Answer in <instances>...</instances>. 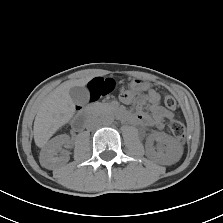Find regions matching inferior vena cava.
I'll return each instance as SVG.
<instances>
[{
	"label": "inferior vena cava",
	"mask_w": 223,
	"mask_h": 223,
	"mask_svg": "<svg viewBox=\"0 0 223 223\" xmlns=\"http://www.w3.org/2000/svg\"><path fill=\"white\" fill-rule=\"evenodd\" d=\"M100 123H101V121L99 118H93L87 122L86 127L89 130L96 129L100 126Z\"/></svg>",
	"instance_id": "obj_1"
}]
</instances>
